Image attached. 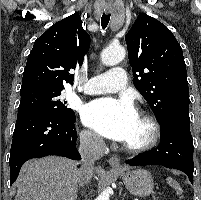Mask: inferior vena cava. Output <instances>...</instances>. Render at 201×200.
Returning a JSON list of instances; mask_svg holds the SVG:
<instances>
[{
  "label": "inferior vena cava",
  "mask_w": 201,
  "mask_h": 200,
  "mask_svg": "<svg viewBox=\"0 0 201 200\" xmlns=\"http://www.w3.org/2000/svg\"><path fill=\"white\" fill-rule=\"evenodd\" d=\"M105 151V143L99 135L93 133H83L80 135L79 152L82 156V168L80 172V185L88 182V175L92 172L95 160L100 159Z\"/></svg>",
  "instance_id": "inferior-vena-cava-1"
}]
</instances>
